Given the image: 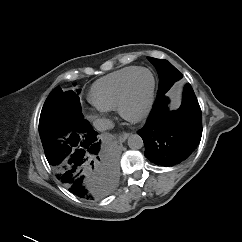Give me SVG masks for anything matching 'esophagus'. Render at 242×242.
<instances>
[{
	"label": "esophagus",
	"instance_id": "esophagus-1",
	"mask_svg": "<svg viewBox=\"0 0 242 242\" xmlns=\"http://www.w3.org/2000/svg\"><path fill=\"white\" fill-rule=\"evenodd\" d=\"M130 133L128 132H123L120 136H119V141L120 142H125L127 140V138L129 137Z\"/></svg>",
	"mask_w": 242,
	"mask_h": 242
}]
</instances>
